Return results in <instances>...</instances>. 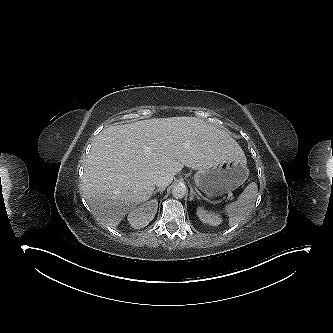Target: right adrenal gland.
Listing matches in <instances>:
<instances>
[{
  "mask_svg": "<svg viewBox=\"0 0 333 333\" xmlns=\"http://www.w3.org/2000/svg\"><path fill=\"white\" fill-rule=\"evenodd\" d=\"M164 190L165 188H158L153 192V194L155 195L157 192H160V194H162Z\"/></svg>",
  "mask_w": 333,
  "mask_h": 333,
  "instance_id": "right-adrenal-gland-1",
  "label": "right adrenal gland"
}]
</instances>
